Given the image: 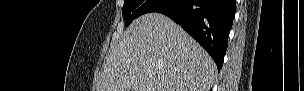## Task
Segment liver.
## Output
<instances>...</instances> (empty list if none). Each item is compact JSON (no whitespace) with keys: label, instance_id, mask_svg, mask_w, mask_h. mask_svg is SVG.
I'll list each match as a JSON object with an SVG mask.
<instances>
[{"label":"liver","instance_id":"obj_1","mask_svg":"<svg viewBox=\"0 0 304 91\" xmlns=\"http://www.w3.org/2000/svg\"><path fill=\"white\" fill-rule=\"evenodd\" d=\"M216 64L178 24L147 13L103 62L98 91H209Z\"/></svg>","mask_w":304,"mask_h":91}]
</instances>
